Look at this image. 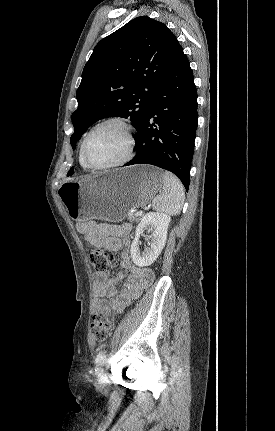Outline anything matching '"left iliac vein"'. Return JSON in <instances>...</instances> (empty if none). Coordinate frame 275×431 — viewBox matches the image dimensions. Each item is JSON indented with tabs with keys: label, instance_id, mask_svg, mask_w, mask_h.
I'll list each match as a JSON object with an SVG mask.
<instances>
[{
	"label": "left iliac vein",
	"instance_id": "4c4485c4",
	"mask_svg": "<svg viewBox=\"0 0 275 431\" xmlns=\"http://www.w3.org/2000/svg\"><path fill=\"white\" fill-rule=\"evenodd\" d=\"M99 381H100V382H103V381H104L103 373L99 374Z\"/></svg>",
	"mask_w": 275,
	"mask_h": 431
}]
</instances>
